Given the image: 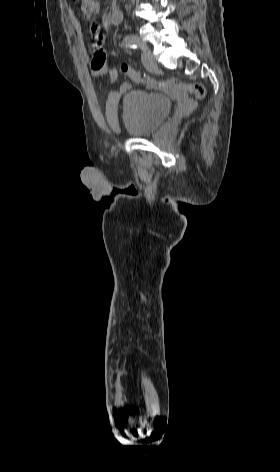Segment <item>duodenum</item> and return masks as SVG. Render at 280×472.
Listing matches in <instances>:
<instances>
[{
  "label": "duodenum",
  "mask_w": 280,
  "mask_h": 472,
  "mask_svg": "<svg viewBox=\"0 0 280 472\" xmlns=\"http://www.w3.org/2000/svg\"><path fill=\"white\" fill-rule=\"evenodd\" d=\"M123 20V13L118 8H113L110 14V23L112 25H119Z\"/></svg>",
  "instance_id": "410a0bca"
}]
</instances>
